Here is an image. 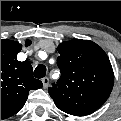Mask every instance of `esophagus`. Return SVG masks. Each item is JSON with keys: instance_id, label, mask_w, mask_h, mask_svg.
<instances>
[{"instance_id": "34e87169", "label": "esophagus", "mask_w": 121, "mask_h": 121, "mask_svg": "<svg viewBox=\"0 0 121 121\" xmlns=\"http://www.w3.org/2000/svg\"><path fill=\"white\" fill-rule=\"evenodd\" d=\"M42 83H43V88H47L49 85V79L47 77L42 79Z\"/></svg>"}]
</instances>
